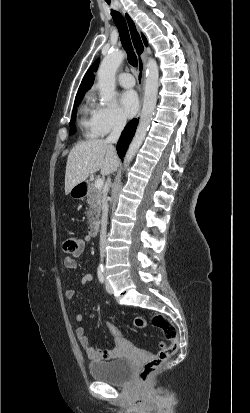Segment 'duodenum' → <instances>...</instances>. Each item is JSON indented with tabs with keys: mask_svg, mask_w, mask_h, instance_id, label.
I'll return each instance as SVG.
<instances>
[{
	"mask_svg": "<svg viewBox=\"0 0 250 413\" xmlns=\"http://www.w3.org/2000/svg\"><path fill=\"white\" fill-rule=\"evenodd\" d=\"M100 224L98 221H93L89 226V233L92 236H96L99 232Z\"/></svg>",
	"mask_w": 250,
	"mask_h": 413,
	"instance_id": "410a0bca",
	"label": "duodenum"
}]
</instances>
